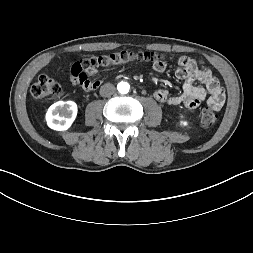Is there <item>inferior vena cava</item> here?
Listing matches in <instances>:
<instances>
[{"mask_svg": "<svg viewBox=\"0 0 253 253\" xmlns=\"http://www.w3.org/2000/svg\"><path fill=\"white\" fill-rule=\"evenodd\" d=\"M115 93V86L111 83H106L100 88V95L102 97H110Z\"/></svg>", "mask_w": 253, "mask_h": 253, "instance_id": "602c4592", "label": "inferior vena cava"}]
</instances>
